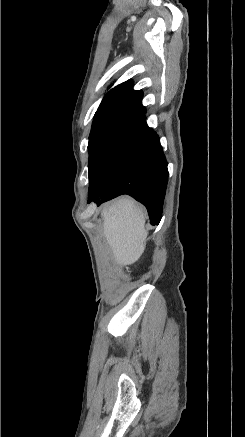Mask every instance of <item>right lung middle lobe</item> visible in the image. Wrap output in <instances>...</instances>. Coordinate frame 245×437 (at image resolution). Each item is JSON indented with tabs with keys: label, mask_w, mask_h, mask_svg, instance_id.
Here are the masks:
<instances>
[{
	"label": "right lung middle lobe",
	"mask_w": 245,
	"mask_h": 437,
	"mask_svg": "<svg viewBox=\"0 0 245 437\" xmlns=\"http://www.w3.org/2000/svg\"><path fill=\"white\" fill-rule=\"evenodd\" d=\"M144 117V112L126 106H104L97 109L88 143L89 180L114 144Z\"/></svg>",
	"instance_id": "1"
}]
</instances>
